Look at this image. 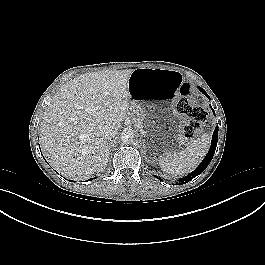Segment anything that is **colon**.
I'll list each match as a JSON object with an SVG mask.
<instances>
[{"mask_svg": "<svg viewBox=\"0 0 265 265\" xmlns=\"http://www.w3.org/2000/svg\"><path fill=\"white\" fill-rule=\"evenodd\" d=\"M190 96V88L186 85L182 88V97L176 106L177 113L188 118L183 128L186 140H192L200 133L207 117L206 112L190 100Z\"/></svg>", "mask_w": 265, "mask_h": 265, "instance_id": "obj_1", "label": "colon"}]
</instances>
